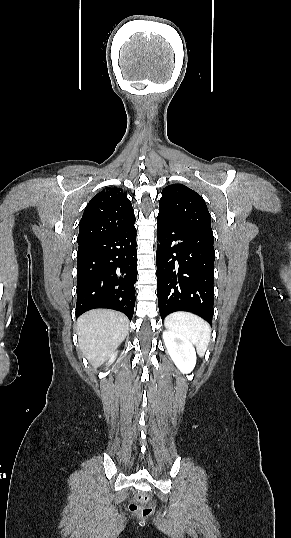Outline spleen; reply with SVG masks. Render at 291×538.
<instances>
[{
  "label": "spleen",
  "mask_w": 291,
  "mask_h": 538,
  "mask_svg": "<svg viewBox=\"0 0 291 538\" xmlns=\"http://www.w3.org/2000/svg\"><path fill=\"white\" fill-rule=\"evenodd\" d=\"M165 327L179 333L195 344L200 356H204L211 338V327L199 316L189 312H173L165 318Z\"/></svg>",
  "instance_id": "obj_1"
}]
</instances>
